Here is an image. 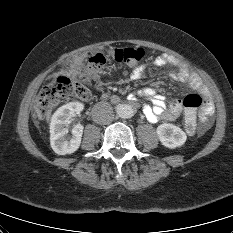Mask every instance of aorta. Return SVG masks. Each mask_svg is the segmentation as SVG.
Wrapping results in <instances>:
<instances>
[{
	"mask_svg": "<svg viewBox=\"0 0 233 233\" xmlns=\"http://www.w3.org/2000/svg\"><path fill=\"white\" fill-rule=\"evenodd\" d=\"M117 112H118V115L121 118H125V119L131 118L134 115L133 108L130 105H127V104L120 105L118 107Z\"/></svg>",
	"mask_w": 233,
	"mask_h": 233,
	"instance_id": "aorta-1",
	"label": "aorta"
}]
</instances>
